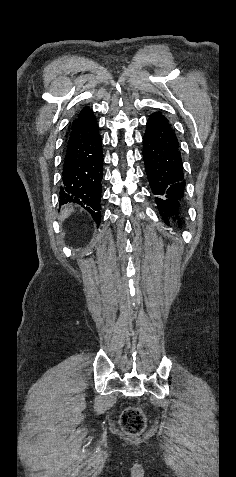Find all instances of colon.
I'll return each instance as SVG.
<instances>
[{"label": "colon", "instance_id": "1", "mask_svg": "<svg viewBox=\"0 0 236 477\" xmlns=\"http://www.w3.org/2000/svg\"><path fill=\"white\" fill-rule=\"evenodd\" d=\"M120 425L125 433L137 435L144 430L146 426V419L140 409L136 407H129L122 413Z\"/></svg>", "mask_w": 236, "mask_h": 477}]
</instances>
